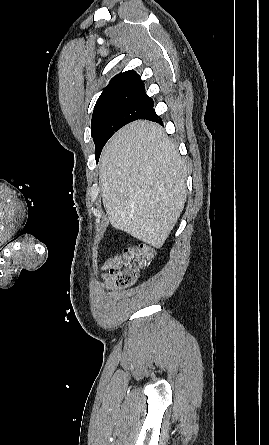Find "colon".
Here are the masks:
<instances>
[{"mask_svg":"<svg viewBox=\"0 0 269 445\" xmlns=\"http://www.w3.org/2000/svg\"><path fill=\"white\" fill-rule=\"evenodd\" d=\"M154 256V249L144 243L125 248L117 265L111 271L115 284L119 287H127L135 283L138 271Z\"/></svg>","mask_w":269,"mask_h":445,"instance_id":"obj_1","label":"colon"}]
</instances>
